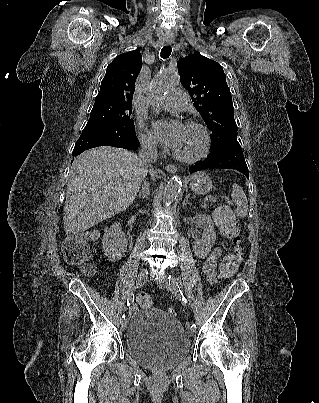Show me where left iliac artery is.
I'll use <instances>...</instances> for the list:
<instances>
[{
    "instance_id": "1",
    "label": "left iliac artery",
    "mask_w": 319,
    "mask_h": 403,
    "mask_svg": "<svg viewBox=\"0 0 319 403\" xmlns=\"http://www.w3.org/2000/svg\"><path fill=\"white\" fill-rule=\"evenodd\" d=\"M168 280H169V288L172 291V293L176 296V298H178L179 300H182L186 304L187 299L184 297L175 276L169 275ZM190 328H193L196 330V325L192 324Z\"/></svg>"
}]
</instances>
